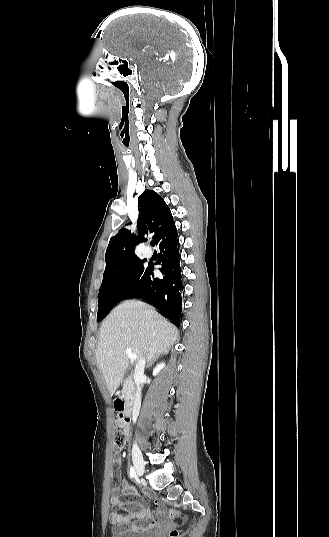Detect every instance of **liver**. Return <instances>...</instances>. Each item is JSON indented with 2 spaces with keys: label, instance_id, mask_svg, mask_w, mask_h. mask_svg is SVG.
Returning <instances> with one entry per match:
<instances>
[{
  "label": "liver",
  "instance_id": "obj_1",
  "mask_svg": "<svg viewBox=\"0 0 329 537\" xmlns=\"http://www.w3.org/2000/svg\"><path fill=\"white\" fill-rule=\"evenodd\" d=\"M178 339V329L154 308L140 301H125L102 322L96 349L98 367L113 396L129 366L126 348L150 361L165 353Z\"/></svg>",
  "mask_w": 329,
  "mask_h": 537
}]
</instances>
